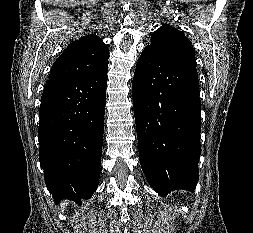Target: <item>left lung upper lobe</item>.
Returning a JSON list of instances; mask_svg holds the SVG:
<instances>
[{
	"instance_id": "1",
	"label": "left lung upper lobe",
	"mask_w": 253,
	"mask_h": 233,
	"mask_svg": "<svg viewBox=\"0 0 253 233\" xmlns=\"http://www.w3.org/2000/svg\"><path fill=\"white\" fill-rule=\"evenodd\" d=\"M148 47L169 60L188 61L196 65L192 43L184 33L169 25L160 27L152 34Z\"/></svg>"
}]
</instances>
